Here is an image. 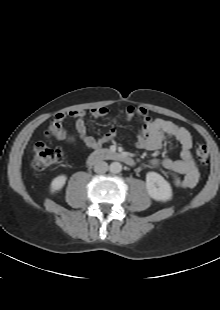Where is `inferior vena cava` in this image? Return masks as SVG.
Segmentation results:
<instances>
[{"mask_svg":"<svg viewBox=\"0 0 220 310\" xmlns=\"http://www.w3.org/2000/svg\"><path fill=\"white\" fill-rule=\"evenodd\" d=\"M108 169H109V166L104 161H99L94 166V171L98 174H104L105 172L108 171Z\"/></svg>","mask_w":220,"mask_h":310,"instance_id":"inferior-vena-cava-1","label":"inferior vena cava"}]
</instances>
